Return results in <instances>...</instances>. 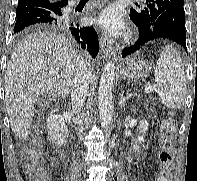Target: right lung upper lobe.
<instances>
[{
    "instance_id": "cb5924a9",
    "label": "right lung upper lobe",
    "mask_w": 197,
    "mask_h": 181,
    "mask_svg": "<svg viewBox=\"0 0 197 181\" xmlns=\"http://www.w3.org/2000/svg\"><path fill=\"white\" fill-rule=\"evenodd\" d=\"M51 1H59V0H51Z\"/></svg>"
}]
</instances>
